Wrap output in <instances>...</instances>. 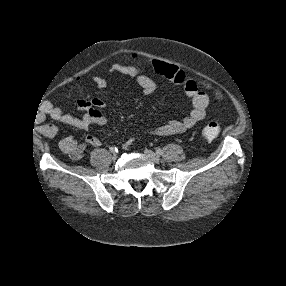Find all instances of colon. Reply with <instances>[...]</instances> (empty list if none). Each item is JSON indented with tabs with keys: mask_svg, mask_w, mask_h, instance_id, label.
<instances>
[{
	"mask_svg": "<svg viewBox=\"0 0 286 286\" xmlns=\"http://www.w3.org/2000/svg\"><path fill=\"white\" fill-rule=\"evenodd\" d=\"M132 61L136 64L135 68L139 72L147 71L155 75H165V68L160 63H152L147 66L141 65L138 58H132ZM221 131V126L217 122H210L202 129V137L208 140L216 138Z\"/></svg>",
	"mask_w": 286,
	"mask_h": 286,
	"instance_id": "obj_1",
	"label": "colon"
}]
</instances>
